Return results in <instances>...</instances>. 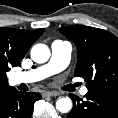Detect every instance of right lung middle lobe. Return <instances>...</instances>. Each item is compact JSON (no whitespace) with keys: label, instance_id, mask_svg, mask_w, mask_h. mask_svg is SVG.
<instances>
[{"label":"right lung middle lobe","instance_id":"dd1d6c3e","mask_svg":"<svg viewBox=\"0 0 118 118\" xmlns=\"http://www.w3.org/2000/svg\"><path fill=\"white\" fill-rule=\"evenodd\" d=\"M10 70V67L4 60H0V76L6 78V72Z\"/></svg>","mask_w":118,"mask_h":118}]
</instances>
